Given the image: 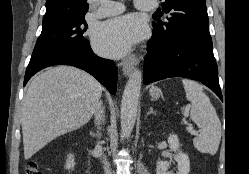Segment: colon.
<instances>
[{
  "instance_id": "1",
  "label": "colon",
  "mask_w": 249,
  "mask_h": 174,
  "mask_svg": "<svg viewBox=\"0 0 249 174\" xmlns=\"http://www.w3.org/2000/svg\"><path fill=\"white\" fill-rule=\"evenodd\" d=\"M24 174H42V172L39 169L37 161L35 160L29 161L25 166Z\"/></svg>"
}]
</instances>
